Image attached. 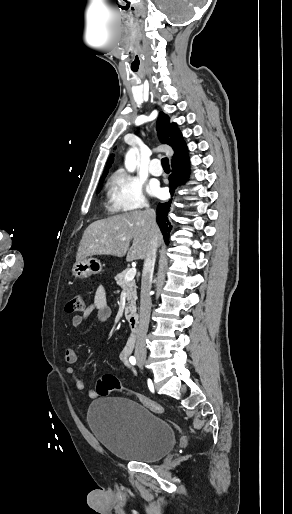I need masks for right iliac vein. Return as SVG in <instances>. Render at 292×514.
<instances>
[{"label": "right iliac vein", "instance_id": "obj_1", "mask_svg": "<svg viewBox=\"0 0 292 514\" xmlns=\"http://www.w3.org/2000/svg\"><path fill=\"white\" fill-rule=\"evenodd\" d=\"M138 364H140L141 366H146L147 365L146 357L145 356H138Z\"/></svg>", "mask_w": 292, "mask_h": 514}]
</instances>
